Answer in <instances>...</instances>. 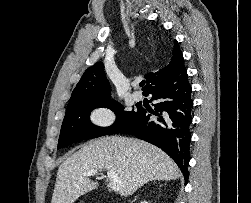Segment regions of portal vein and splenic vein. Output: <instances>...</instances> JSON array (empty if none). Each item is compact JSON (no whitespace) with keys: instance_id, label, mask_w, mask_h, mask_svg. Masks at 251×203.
<instances>
[{"instance_id":"1","label":"portal vein and splenic vein","mask_w":251,"mask_h":203,"mask_svg":"<svg viewBox=\"0 0 251 203\" xmlns=\"http://www.w3.org/2000/svg\"><path fill=\"white\" fill-rule=\"evenodd\" d=\"M95 174H97V170H91V171L85 172L84 176L85 177L94 176ZM107 176L109 178L112 190L119 191L122 185V181L119 179L118 175L114 171L110 170V171H107Z\"/></svg>"}]
</instances>
